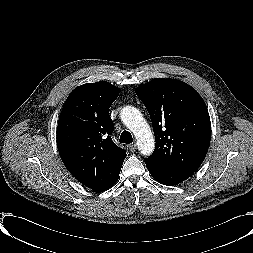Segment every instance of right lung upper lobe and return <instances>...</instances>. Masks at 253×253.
<instances>
[{"instance_id": "right-lung-upper-lobe-1", "label": "right lung upper lobe", "mask_w": 253, "mask_h": 253, "mask_svg": "<svg viewBox=\"0 0 253 253\" xmlns=\"http://www.w3.org/2000/svg\"><path fill=\"white\" fill-rule=\"evenodd\" d=\"M120 89L108 82L75 88L61 111L57 146L68 171L83 185L105 191L119 178L126 151L111 139L109 108Z\"/></svg>"}]
</instances>
